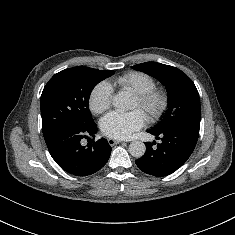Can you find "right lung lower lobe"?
<instances>
[{
  "mask_svg": "<svg viewBox=\"0 0 235 235\" xmlns=\"http://www.w3.org/2000/svg\"><path fill=\"white\" fill-rule=\"evenodd\" d=\"M97 125L88 127L67 126L58 129L46 141L55 162L66 172L75 176H87L100 170L108 161L111 146L104 138L84 147L82 138L95 137Z\"/></svg>",
  "mask_w": 235,
  "mask_h": 235,
  "instance_id": "obj_1",
  "label": "right lung lower lobe"
}]
</instances>
